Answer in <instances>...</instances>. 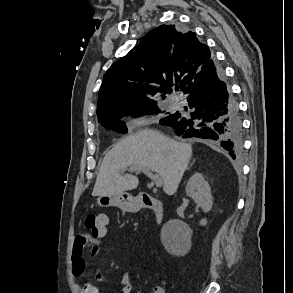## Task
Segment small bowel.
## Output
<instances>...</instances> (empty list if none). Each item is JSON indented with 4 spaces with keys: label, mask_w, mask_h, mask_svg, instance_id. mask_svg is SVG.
<instances>
[{
    "label": "small bowel",
    "mask_w": 293,
    "mask_h": 293,
    "mask_svg": "<svg viewBox=\"0 0 293 293\" xmlns=\"http://www.w3.org/2000/svg\"><path fill=\"white\" fill-rule=\"evenodd\" d=\"M107 217V216H106ZM108 219V218H107ZM108 223V222H107ZM107 234V228L99 236H94L86 232H80L74 241L72 250V271L75 276H84L87 270L88 260L100 253L101 239ZM97 280L104 282L101 274H97ZM119 289L121 293H143L142 291H135L131 276L129 273H124L119 282ZM80 293H99V288L89 281L83 282L79 285ZM155 293H165L162 287H158Z\"/></svg>",
    "instance_id": "1"
}]
</instances>
